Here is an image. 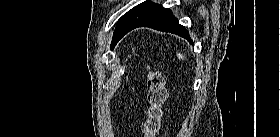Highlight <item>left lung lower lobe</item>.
<instances>
[{"mask_svg":"<svg viewBox=\"0 0 280 137\" xmlns=\"http://www.w3.org/2000/svg\"><path fill=\"white\" fill-rule=\"evenodd\" d=\"M137 27H149L159 31L170 32L188 39L193 44L186 28L178 23L177 18L173 16L170 9L164 8L162 5H158L140 21L132 25L125 34Z\"/></svg>","mask_w":280,"mask_h":137,"instance_id":"obj_1","label":"left lung lower lobe"}]
</instances>
